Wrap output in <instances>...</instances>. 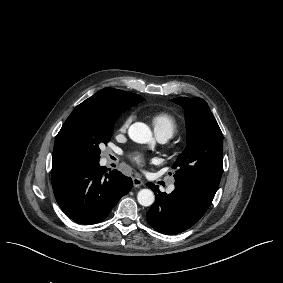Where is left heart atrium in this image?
<instances>
[{"mask_svg":"<svg viewBox=\"0 0 283 283\" xmlns=\"http://www.w3.org/2000/svg\"><path fill=\"white\" fill-rule=\"evenodd\" d=\"M134 162L138 165H141L144 161H146L148 159V157L144 154H141V153H135L133 156H132Z\"/></svg>","mask_w":283,"mask_h":283,"instance_id":"39dd6f15","label":"left heart atrium"}]
</instances>
